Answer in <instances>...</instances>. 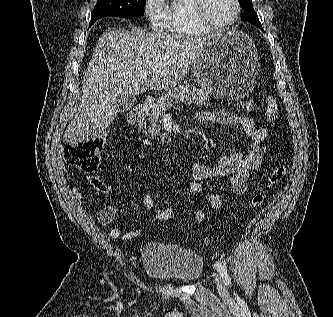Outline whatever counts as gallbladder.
Masks as SVG:
<instances>
[{
    "mask_svg": "<svg viewBox=\"0 0 333 317\" xmlns=\"http://www.w3.org/2000/svg\"><path fill=\"white\" fill-rule=\"evenodd\" d=\"M136 101L135 96H118L115 100V106L118 112H126L134 107Z\"/></svg>",
    "mask_w": 333,
    "mask_h": 317,
    "instance_id": "obj_1",
    "label": "gallbladder"
}]
</instances>
